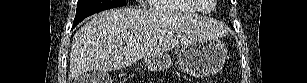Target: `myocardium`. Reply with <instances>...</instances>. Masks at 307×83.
I'll use <instances>...</instances> for the list:
<instances>
[{
    "instance_id": "myocardium-1",
    "label": "myocardium",
    "mask_w": 307,
    "mask_h": 83,
    "mask_svg": "<svg viewBox=\"0 0 307 83\" xmlns=\"http://www.w3.org/2000/svg\"><path fill=\"white\" fill-rule=\"evenodd\" d=\"M187 1L190 2L195 7V9L197 11H200L202 13H210L213 10V5H211L209 9L204 10L201 7V5H200L198 0H187Z\"/></svg>"
}]
</instances>
